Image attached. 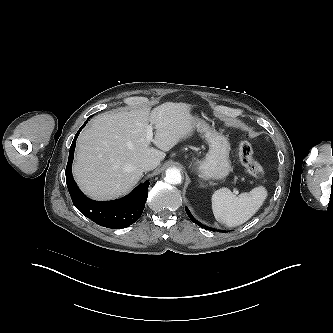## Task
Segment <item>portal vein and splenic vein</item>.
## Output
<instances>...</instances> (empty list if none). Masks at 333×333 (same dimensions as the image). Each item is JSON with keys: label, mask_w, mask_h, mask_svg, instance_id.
<instances>
[{"label": "portal vein and splenic vein", "mask_w": 333, "mask_h": 333, "mask_svg": "<svg viewBox=\"0 0 333 333\" xmlns=\"http://www.w3.org/2000/svg\"><path fill=\"white\" fill-rule=\"evenodd\" d=\"M153 139V127L149 125L147 127V134H146V140L151 141Z\"/></svg>", "instance_id": "portal-vein-and-splenic-vein-1"}]
</instances>
